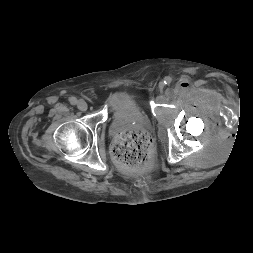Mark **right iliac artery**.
Returning a JSON list of instances; mask_svg holds the SVG:
<instances>
[{"mask_svg":"<svg viewBox=\"0 0 253 253\" xmlns=\"http://www.w3.org/2000/svg\"><path fill=\"white\" fill-rule=\"evenodd\" d=\"M77 99L75 98V97H71L70 98V103L72 104V105H76L77 104Z\"/></svg>","mask_w":253,"mask_h":253,"instance_id":"1","label":"right iliac artery"}]
</instances>
